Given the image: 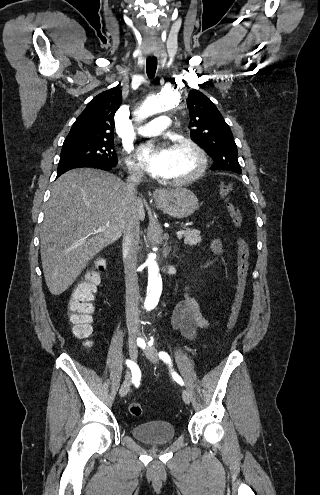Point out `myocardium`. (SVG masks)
<instances>
[{
    "label": "myocardium",
    "instance_id": "myocardium-1",
    "mask_svg": "<svg viewBox=\"0 0 320 495\" xmlns=\"http://www.w3.org/2000/svg\"><path fill=\"white\" fill-rule=\"evenodd\" d=\"M174 147H185L191 151L196 159V167L186 176L171 180V182L175 185H186L198 179L207 167V157L204 150L193 140L184 137L172 139L170 148Z\"/></svg>",
    "mask_w": 320,
    "mask_h": 495
}]
</instances>
